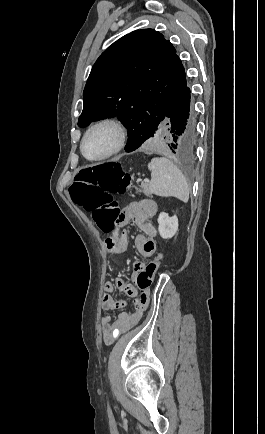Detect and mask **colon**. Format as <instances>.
I'll list each match as a JSON object with an SVG mask.
<instances>
[{
    "label": "colon",
    "mask_w": 265,
    "mask_h": 434,
    "mask_svg": "<svg viewBox=\"0 0 265 434\" xmlns=\"http://www.w3.org/2000/svg\"><path fill=\"white\" fill-rule=\"evenodd\" d=\"M133 187V177L113 159L107 158L104 164H84L83 168H78L68 186V201L80 202L92 216L97 229L112 234L121 210L113 195L126 194ZM162 259L163 255L159 254L148 262L145 270L136 275L135 286H151Z\"/></svg>",
    "instance_id": "5ec220e1"
}]
</instances>
